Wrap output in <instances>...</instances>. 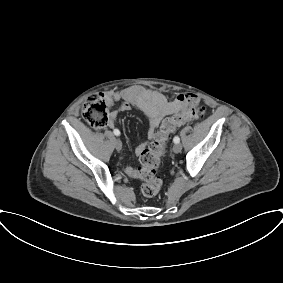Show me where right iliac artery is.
I'll list each match as a JSON object with an SVG mask.
<instances>
[{
  "mask_svg": "<svg viewBox=\"0 0 283 283\" xmlns=\"http://www.w3.org/2000/svg\"><path fill=\"white\" fill-rule=\"evenodd\" d=\"M113 133L116 135V136H119L120 135V131L118 129H114Z\"/></svg>",
  "mask_w": 283,
  "mask_h": 283,
  "instance_id": "right-iliac-artery-1",
  "label": "right iliac artery"
}]
</instances>
